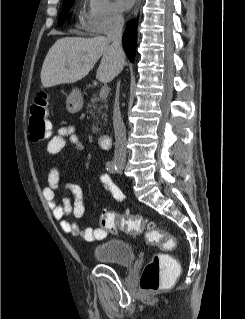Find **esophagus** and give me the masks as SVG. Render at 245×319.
Listing matches in <instances>:
<instances>
[{
	"label": "esophagus",
	"mask_w": 245,
	"mask_h": 319,
	"mask_svg": "<svg viewBox=\"0 0 245 319\" xmlns=\"http://www.w3.org/2000/svg\"><path fill=\"white\" fill-rule=\"evenodd\" d=\"M140 5H141V0H137L136 1V4H135V7H134V10H133V16L136 17L138 12H139V9H140Z\"/></svg>",
	"instance_id": "obj_1"
}]
</instances>
